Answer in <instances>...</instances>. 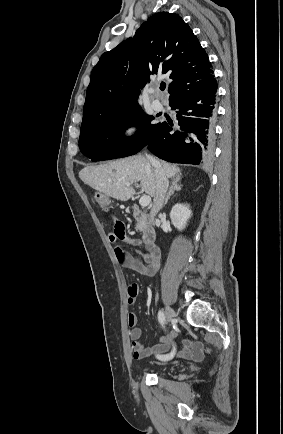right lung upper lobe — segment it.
<instances>
[{
  "label": "right lung upper lobe",
  "instance_id": "1",
  "mask_svg": "<svg viewBox=\"0 0 283 434\" xmlns=\"http://www.w3.org/2000/svg\"><path fill=\"white\" fill-rule=\"evenodd\" d=\"M157 73L171 79L169 102L214 79L207 53L188 24L174 13L151 16L133 38L101 56L91 73L81 129L140 107V89Z\"/></svg>",
  "mask_w": 283,
  "mask_h": 434
}]
</instances>
